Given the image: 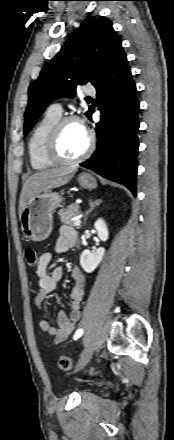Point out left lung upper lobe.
<instances>
[{
    "mask_svg": "<svg viewBox=\"0 0 174 440\" xmlns=\"http://www.w3.org/2000/svg\"><path fill=\"white\" fill-rule=\"evenodd\" d=\"M123 50L112 22L87 18L68 38L29 86L24 133L28 134L45 108L60 97H73L77 85H96L109 63ZM91 107L86 112L89 115Z\"/></svg>",
    "mask_w": 174,
    "mask_h": 440,
    "instance_id": "5c2ea615",
    "label": "left lung upper lobe"
}]
</instances>
